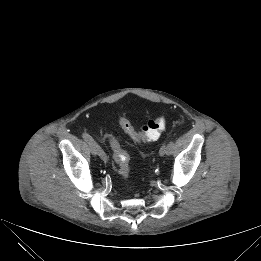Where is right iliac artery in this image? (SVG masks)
I'll use <instances>...</instances> for the list:
<instances>
[{
    "label": "right iliac artery",
    "instance_id": "right-iliac-artery-1",
    "mask_svg": "<svg viewBox=\"0 0 261 261\" xmlns=\"http://www.w3.org/2000/svg\"><path fill=\"white\" fill-rule=\"evenodd\" d=\"M82 137L86 142L92 144L96 148L98 155L103 161H109V156L107 153L94 141V139L88 133H83Z\"/></svg>",
    "mask_w": 261,
    "mask_h": 261
}]
</instances>
